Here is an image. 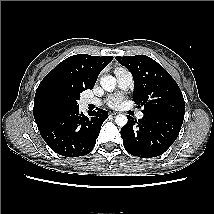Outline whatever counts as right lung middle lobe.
Wrapping results in <instances>:
<instances>
[{
    "instance_id": "1",
    "label": "right lung middle lobe",
    "mask_w": 214,
    "mask_h": 214,
    "mask_svg": "<svg viewBox=\"0 0 214 214\" xmlns=\"http://www.w3.org/2000/svg\"><path fill=\"white\" fill-rule=\"evenodd\" d=\"M80 93L79 91L56 88L48 93L47 99L52 106L58 109H73L79 107L77 100L80 99Z\"/></svg>"
}]
</instances>
